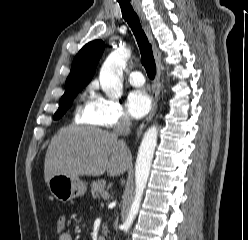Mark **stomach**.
I'll return each instance as SVG.
<instances>
[{"mask_svg": "<svg viewBox=\"0 0 248 240\" xmlns=\"http://www.w3.org/2000/svg\"><path fill=\"white\" fill-rule=\"evenodd\" d=\"M51 194L61 202H68L76 197L83 196L87 185L78 177L57 174L48 181Z\"/></svg>", "mask_w": 248, "mask_h": 240, "instance_id": "stomach-1", "label": "stomach"}]
</instances>
